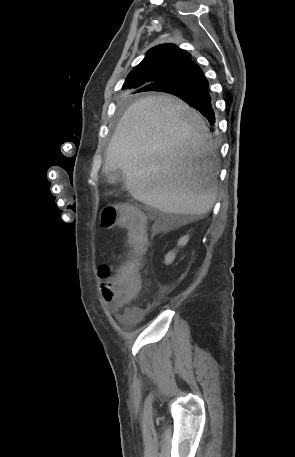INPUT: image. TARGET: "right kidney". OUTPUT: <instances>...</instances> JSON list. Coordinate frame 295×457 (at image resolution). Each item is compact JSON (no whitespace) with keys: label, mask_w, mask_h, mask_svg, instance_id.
<instances>
[{"label":"right kidney","mask_w":295,"mask_h":457,"mask_svg":"<svg viewBox=\"0 0 295 457\" xmlns=\"http://www.w3.org/2000/svg\"><path fill=\"white\" fill-rule=\"evenodd\" d=\"M189 240V236H184L182 237L179 241H178V246H185L186 243L188 242ZM175 258V253L174 252H169L166 256H165V263L166 264H170Z\"/></svg>","instance_id":"ca27d5eb"}]
</instances>
